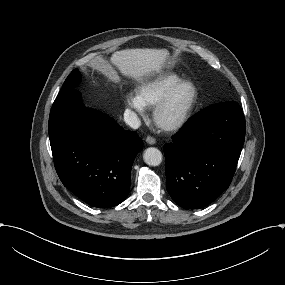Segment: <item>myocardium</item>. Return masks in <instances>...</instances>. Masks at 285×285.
<instances>
[{
	"label": "myocardium",
	"mask_w": 285,
	"mask_h": 285,
	"mask_svg": "<svg viewBox=\"0 0 285 285\" xmlns=\"http://www.w3.org/2000/svg\"><path fill=\"white\" fill-rule=\"evenodd\" d=\"M185 86H191L193 88V96L191 101L184 111V113L174 122L164 125L161 123L160 118L163 112L170 106L176 93ZM200 99V89L197 83L190 79H184L174 85L155 106L153 111V118L155 123L167 132H175L183 128L191 119Z\"/></svg>",
	"instance_id": "f54148a6"
}]
</instances>
